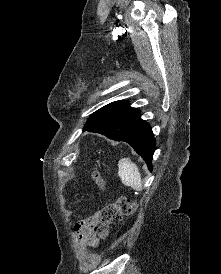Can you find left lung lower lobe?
I'll return each mask as SVG.
<instances>
[{"instance_id": "left-lung-lower-lobe-1", "label": "left lung lower lobe", "mask_w": 221, "mask_h": 274, "mask_svg": "<svg viewBox=\"0 0 221 274\" xmlns=\"http://www.w3.org/2000/svg\"><path fill=\"white\" fill-rule=\"evenodd\" d=\"M94 117L92 124L84 131L128 143L152 170L155 138L149 124L141 119L139 109L130 107L128 101H116L96 111Z\"/></svg>"}]
</instances>
